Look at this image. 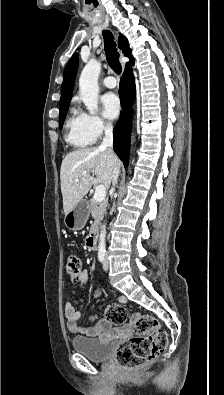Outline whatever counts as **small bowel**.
Segmentation results:
<instances>
[{
    "label": "small bowel",
    "mask_w": 224,
    "mask_h": 395,
    "mask_svg": "<svg viewBox=\"0 0 224 395\" xmlns=\"http://www.w3.org/2000/svg\"><path fill=\"white\" fill-rule=\"evenodd\" d=\"M88 280V273L86 271L76 278L75 287H81ZM98 294H96L97 296ZM121 301H126V297L121 295L119 297ZM64 314L66 318V325L70 332L78 335H84L87 337L102 336L104 333H111L113 331L112 324L106 319H101L94 322L93 318H85L86 324H81L82 315L74 307L71 302H67L64 306Z\"/></svg>",
    "instance_id": "c3829d8e"
}]
</instances>
